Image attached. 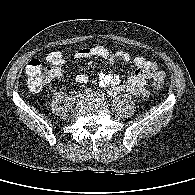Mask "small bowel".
<instances>
[{
	"instance_id": "c3829d8e",
	"label": "small bowel",
	"mask_w": 195,
	"mask_h": 195,
	"mask_svg": "<svg viewBox=\"0 0 195 195\" xmlns=\"http://www.w3.org/2000/svg\"><path fill=\"white\" fill-rule=\"evenodd\" d=\"M75 57L79 61L92 57H100L105 59L110 65L116 64L117 61L131 62L135 71L124 83L121 82L117 74L99 73V84L101 87L105 88L110 95H116L119 92L147 94L148 91L145 87L146 82L165 75L164 72L159 69L155 61L147 60L142 56L131 58L128 52L122 50L110 51L105 47L97 46L81 49L76 53ZM47 60L56 66H62L64 64L63 54L59 51L51 52ZM75 82L86 84L88 82V76L83 73H78L75 76Z\"/></svg>"
}]
</instances>
